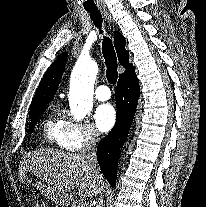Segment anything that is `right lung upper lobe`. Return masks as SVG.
Masks as SVG:
<instances>
[{
    "label": "right lung upper lobe",
    "instance_id": "right-lung-upper-lobe-1",
    "mask_svg": "<svg viewBox=\"0 0 206 207\" xmlns=\"http://www.w3.org/2000/svg\"><path fill=\"white\" fill-rule=\"evenodd\" d=\"M114 44L118 60L120 64L125 67L126 72L132 68L133 65L129 63V54L125 49L126 42L124 37L119 32L114 33ZM66 59L67 53L64 52L49 67L37 88L30 110L41 105L48 104L53 99L65 69Z\"/></svg>",
    "mask_w": 206,
    "mask_h": 207
}]
</instances>
